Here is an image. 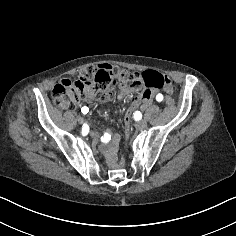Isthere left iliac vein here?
<instances>
[{
    "label": "left iliac vein",
    "instance_id": "1",
    "mask_svg": "<svg viewBox=\"0 0 236 236\" xmlns=\"http://www.w3.org/2000/svg\"><path fill=\"white\" fill-rule=\"evenodd\" d=\"M134 127L138 131H143L146 128V123L143 120H138L135 122Z\"/></svg>",
    "mask_w": 236,
    "mask_h": 236
}]
</instances>
